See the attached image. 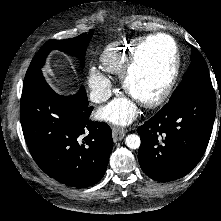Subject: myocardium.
I'll list each match as a JSON object with an SVG mask.
<instances>
[{"mask_svg": "<svg viewBox=\"0 0 221 221\" xmlns=\"http://www.w3.org/2000/svg\"><path fill=\"white\" fill-rule=\"evenodd\" d=\"M156 37H164L167 38L172 45V56L171 61L168 67V75L165 80V82L161 85H158L156 87V90L150 94L148 98H136L134 97L130 92V79L131 76L137 66V63L139 61L141 52L144 48V46L151 41L152 39ZM181 65V57L178 49L177 42L175 41L174 37L171 36L168 33H155L150 34L145 37H143L134 47L132 50L130 57L125 64L123 70L120 73V81L123 90L134 100H136L138 103H140L142 106L147 108H153L156 106H159L170 94L175 81L177 79L179 69Z\"/></svg>", "mask_w": 221, "mask_h": 221, "instance_id": "1", "label": "myocardium"}]
</instances>
